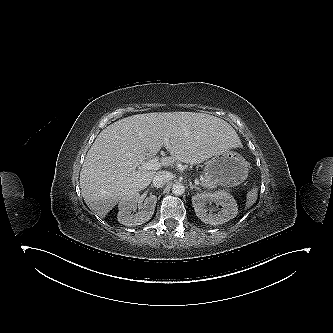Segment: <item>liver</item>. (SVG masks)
Listing matches in <instances>:
<instances>
[{
  "mask_svg": "<svg viewBox=\"0 0 333 333\" xmlns=\"http://www.w3.org/2000/svg\"><path fill=\"white\" fill-rule=\"evenodd\" d=\"M163 146L171 157L162 158L161 166H169L202 163L241 141L226 121L204 113L154 112L118 120L97 136L80 172L89 209L103 218L124 197L147 188L157 172L139 169L140 164Z\"/></svg>",
  "mask_w": 333,
  "mask_h": 333,
  "instance_id": "liver-1",
  "label": "liver"
}]
</instances>
